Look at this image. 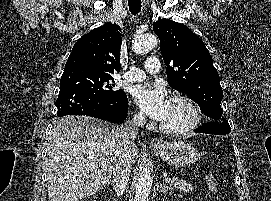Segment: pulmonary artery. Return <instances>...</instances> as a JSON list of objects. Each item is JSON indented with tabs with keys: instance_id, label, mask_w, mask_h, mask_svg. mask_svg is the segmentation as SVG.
<instances>
[{
	"instance_id": "e3ab8cb5",
	"label": "pulmonary artery",
	"mask_w": 271,
	"mask_h": 201,
	"mask_svg": "<svg viewBox=\"0 0 271 201\" xmlns=\"http://www.w3.org/2000/svg\"><path fill=\"white\" fill-rule=\"evenodd\" d=\"M160 62L157 57H149L145 63L147 73L156 74L159 72ZM146 72L140 68L131 67L130 70L123 75V79L127 82H139L146 78Z\"/></svg>"
}]
</instances>
